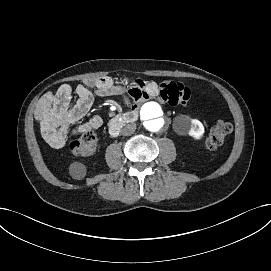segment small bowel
I'll list each match as a JSON object with an SVG mask.
<instances>
[{"mask_svg":"<svg viewBox=\"0 0 271 271\" xmlns=\"http://www.w3.org/2000/svg\"><path fill=\"white\" fill-rule=\"evenodd\" d=\"M73 89L63 84L54 91L45 93L36 107V119L46 142L53 148H62L71 135L93 131L102 125V118L94 115L87 122L72 127L89 112L95 96L119 95L130 105L142 104L158 99L171 106H185L191 98V91L181 83L144 81L124 77L118 82L110 76L86 78L75 88L77 100L70 105Z\"/></svg>","mask_w":271,"mask_h":271,"instance_id":"small-bowel-1","label":"small bowel"}]
</instances>
